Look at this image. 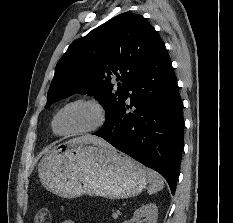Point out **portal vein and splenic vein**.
<instances>
[{"mask_svg": "<svg viewBox=\"0 0 233 223\" xmlns=\"http://www.w3.org/2000/svg\"><path fill=\"white\" fill-rule=\"evenodd\" d=\"M112 217H118V213H112Z\"/></svg>", "mask_w": 233, "mask_h": 223, "instance_id": "obj_1", "label": "portal vein and splenic vein"}]
</instances>
